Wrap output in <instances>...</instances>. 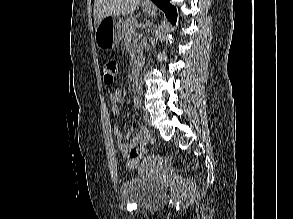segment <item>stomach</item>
<instances>
[{"label": "stomach", "mask_w": 293, "mask_h": 219, "mask_svg": "<svg viewBox=\"0 0 293 219\" xmlns=\"http://www.w3.org/2000/svg\"><path fill=\"white\" fill-rule=\"evenodd\" d=\"M142 9L146 14L153 15L154 7L143 3ZM123 37V21L118 16H107L101 20L95 30V42L101 49H112L117 46Z\"/></svg>", "instance_id": "0dacf381"}]
</instances>
